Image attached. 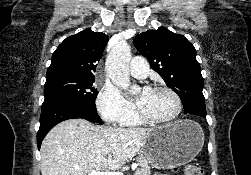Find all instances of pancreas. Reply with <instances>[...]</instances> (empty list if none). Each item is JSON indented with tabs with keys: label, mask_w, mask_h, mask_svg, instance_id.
<instances>
[{
	"label": "pancreas",
	"mask_w": 251,
	"mask_h": 175,
	"mask_svg": "<svg viewBox=\"0 0 251 175\" xmlns=\"http://www.w3.org/2000/svg\"><path fill=\"white\" fill-rule=\"evenodd\" d=\"M138 167L134 175H150V167L146 157H135Z\"/></svg>",
	"instance_id": "pancreas-1"
}]
</instances>
